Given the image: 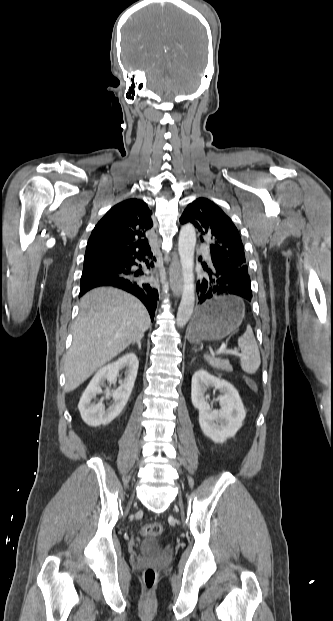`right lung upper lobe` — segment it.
Here are the masks:
<instances>
[{
  "mask_svg": "<svg viewBox=\"0 0 333 621\" xmlns=\"http://www.w3.org/2000/svg\"><path fill=\"white\" fill-rule=\"evenodd\" d=\"M151 215L147 204L136 198L116 204L93 229L85 258L150 250L145 233L153 226Z\"/></svg>",
  "mask_w": 333,
  "mask_h": 621,
  "instance_id": "obj_1",
  "label": "right lung upper lobe"
}]
</instances>
